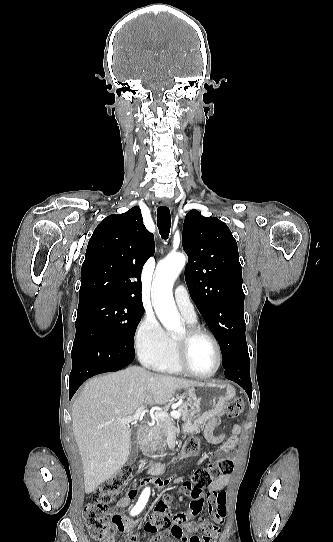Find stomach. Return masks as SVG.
Here are the masks:
<instances>
[{
	"label": "stomach",
	"mask_w": 333,
	"mask_h": 542,
	"mask_svg": "<svg viewBox=\"0 0 333 542\" xmlns=\"http://www.w3.org/2000/svg\"><path fill=\"white\" fill-rule=\"evenodd\" d=\"M185 396L192 404L191 418L183 426L187 437L198 435L200 426L208 420L222 416L225 404L234 398L236 392L230 384H215V382H198L197 386L185 388Z\"/></svg>",
	"instance_id": "obj_1"
}]
</instances>
